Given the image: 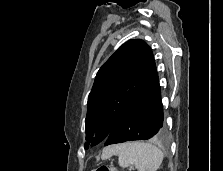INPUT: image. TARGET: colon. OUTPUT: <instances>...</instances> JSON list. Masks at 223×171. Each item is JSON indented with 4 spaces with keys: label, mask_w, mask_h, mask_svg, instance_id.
<instances>
[{
    "label": "colon",
    "mask_w": 223,
    "mask_h": 171,
    "mask_svg": "<svg viewBox=\"0 0 223 171\" xmlns=\"http://www.w3.org/2000/svg\"><path fill=\"white\" fill-rule=\"evenodd\" d=\"M94 171H118V170L112 166L103 165L98 167Z\"/></svg>",
    "instance_id": "obj_1"
}]
</instances>
